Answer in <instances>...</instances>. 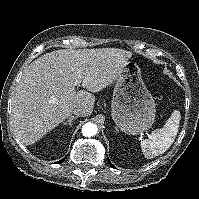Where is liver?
Wrapping results in <instances>:
<instances>
[{"label":"liver","mask_w":199,"mask_h":199,"mask_svg":"<svg viewBox=\"0 0 199 199\" xmlns=\"http://www.w3.org/2000/svg\"><path fill=\"white\" fill-rule=\"evenodd\" d=\"M130 51L118 48L55 50L34 60L12 98L11 121L17 138L32 145L62 121L77 105L91 115L95 96L117 79ZM79 81L87 89L76 91Z\"/></svg>","instance_id":"liver-1"}]
</instances>
